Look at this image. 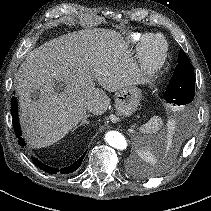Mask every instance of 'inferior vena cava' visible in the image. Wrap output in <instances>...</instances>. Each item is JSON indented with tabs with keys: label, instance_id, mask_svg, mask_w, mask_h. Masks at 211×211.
Here are the masks:
<instances>
[{
	"label": "inferior vena cava",
	"instance_id": "1",
	"mask_svg": "<svg viewBox=\"0 0 211 211\" xmlns=\"http://www.w3.org/2000/svg\"><path fill=\"white\" fill-rule=\"evenodd\" d=\"M87 110H88L89 112H93V110H94V105H93L92 103H88V104H87Z\"/></svg>",
	"mask_w": 211,
	"mask_h": 211
}]
</instances>
